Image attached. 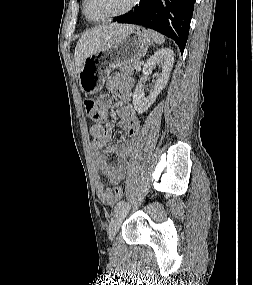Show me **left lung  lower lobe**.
Returning <instances> with one entry per match:
<instances>
[{
    "instance_id": "obj_1",
    "label": "left lung lower lobe",
    "mask_w": 253,
    "mask_h": 285,
    "mask_svg": "<svg viewBox=\"0 0 253 285\" xmlns=\"http://www.w3.org/2000/svg\"><path fill=\"white\" fill-rule=\"evenodd\" d=\"M195 0H142L129 13L114 18L119 23L143 25L172 38L183 53Z\"/></svg>"
}]
</instances>
